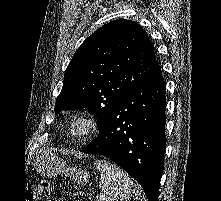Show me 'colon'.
<instances>
[{"mask_svg": "<svg viewBox=\"0 0 221 201\" xmlns=\"http://www.w3.org/2000/svg\"><path fill=\"white\" fill-rule=\"evenodd\" d=\"M53 194L49 183L42 180L36 187H29L25 192L24 201H40L42 198H49Z\"/></svg>", "mask_w": 221, "mask_h": 201, "instance_id": "colon-1", "label": "colon"}]
</instances>
